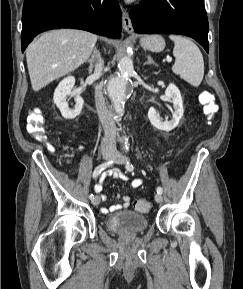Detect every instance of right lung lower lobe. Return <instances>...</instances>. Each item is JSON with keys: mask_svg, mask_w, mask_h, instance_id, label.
Returning <instances> with one entry per match:
<instances>
[{"mask_svg": "<svg viewBox=\"0 0 243 289\" xmlns=\"http://www.w3.org/2000/svg\"><path fill=\"white\" fill-rule=\"evenodd\" d=\"M121 11L117 0H25L22 16V52L39 33L76 28L120 38Z\"/></svg>", "mask_w": 243, "mask_h": 289, "instance_id": "right-lung-lower-lobe-1", "label": "right lung lower lobe"}]
</instances>
